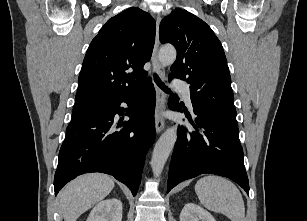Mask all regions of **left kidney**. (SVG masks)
Segmentation results:
<instances>
[{
  "mask_svg": "<svg viewBox=\"0 0 307 221\" xmlns=\"http://www.w3.org/2000/svg\"><path fill=\"white\" fill-rule=\"evenodd\" d=\"M180 221H216L205 209L195 203H188L180 214Z\"/></svg>",
  "mask_w": 307,
  "mask_h": 221,
  "instance_id": "5707ae66",
  "label": "left kidney"
}]
</instances>
